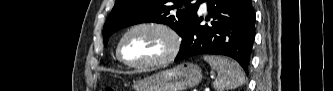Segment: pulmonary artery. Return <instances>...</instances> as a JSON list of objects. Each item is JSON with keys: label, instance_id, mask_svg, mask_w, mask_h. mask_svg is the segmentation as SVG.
Masks as SVG:
<instances>
[{"label": "pulmonary artery", "instance_id": "obj_1", "mask_svg": "<svg viewBox=\"0 0 333 91\" xmlns=\"http://www.w3.org/2000/svg\"><path fill=\"white\" fill-rule=\"evenodd\" d=\"M202 10H203V11L206 10V5H205V4L202 5Z\"/></svg>", "mask_w": 333, "mask_h": 91}]
</instances>
